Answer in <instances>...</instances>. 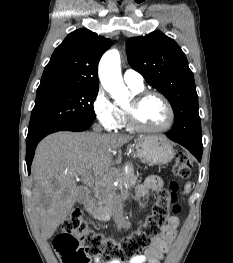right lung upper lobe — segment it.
<instances>
[{
	"instance_id": "obj_1",
	"label": "right lung upper lobe",
	"mask_w": 233,
	"mask_h": 263,
	"mask_svg": "<svg viewBox=\"0 0 233 263\" xmlns=\"http://www.w3.org/2000/svg\"><path fill=\"white\" fill-rule=\"evenodd\" d=\"M111 45L109 39L88 29L68 34L45 67L37 95L78 87L98 88V63Z\"/></svg>"
}]
</instances>
